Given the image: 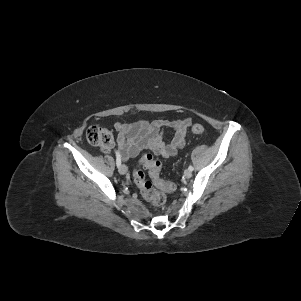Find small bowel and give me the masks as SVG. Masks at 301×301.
I'll return each mask as SVG.
<instances>
[{"instance_id":"c3829d8e","label":"small bowel","mask_w":301,"mask_h":301,"mask_svg":"<svg viewBox=\"0 0 301 301\" xmlns=\"http://www.w3.org/2000/svg\"><path fill=\"white\" fill-rule=\"evenodd\" d=\"M191 122L190 118L153 122L138 121L131 125L117 122L115 124L117 151L124 161H128L145 150L164 158L172 157L184 146ZM165 128L174 131L172 139L168 142L164 141L162 136Z\"/></svg>"}]
</instances>
